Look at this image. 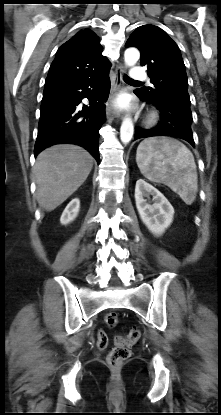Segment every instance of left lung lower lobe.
<instances>
[{
    "mask_svg": "<svg viewBox=\"0 0 221 415\" xmlns=\"http://www.w3.org/2000/svg\"><path fill=\"white\" fill-rule=\"evenodd\" d=\"M135 94L142 99L155 105L161 114L160 123L152 129L136 128L134 140L153 136H172L181 138L194 146L191 130L192 112L190 101L178 98H166L162 100H150L142 95L138 89Z\"/></svg>",
    "mask_w": 221,
    "mask_h": 415,
    "instance_id": "0a47b994",
    "label": "left lung lower lobe"
}]
</instances>
